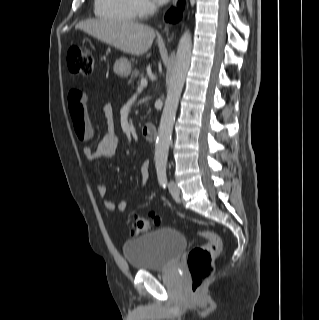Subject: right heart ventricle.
<instances>
[{"label":"right heart ventricle","instance_id":"1","mask_svg":"<svg viewBox=\"0 0 319 320\" xmlns=\"http://www.w3.org/2000/svg\"><path fill=\"white\" fill-rule=\"evenodd\" d=\"M94 12L100 19L121 23L133 22L137 15L133 0H95Z\"/></svg>","mask_w":319,"mask_h":320}]
</instances>
